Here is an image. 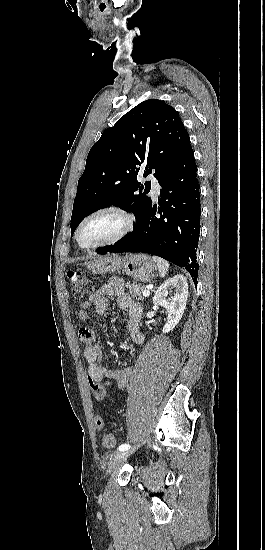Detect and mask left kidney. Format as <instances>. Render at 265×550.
I'll list each match as a JSON object with an SVG mask.
<instances>
[{
  "label": "left kidney",
  "instance_id": "5707ae66",
  "mask_svg": "<svg viewBox=\"0 0 265 550\" xmlns=\"http://www.w3.org/2000/svg\"><path fill=\"white\" fill-rule=\"evenodd\" d=\"M175 291L171 298L168 293ZM188 297V283L183 275H175L166 280L156 291L153 304L165 308L168 317L163 326V333H168L179 323L186 307Z\"/></svg>",
  "mask_w": 265,
  "mask_h": 550
}]
</instances>
